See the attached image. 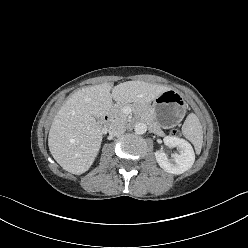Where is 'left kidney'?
Wrapping results in <instances>:
<instances>
[{
    "instance_id": "left-kidney-1",
    "label": "left kidney",
    "mask_w": 248,
    "mask_h": 248,
    "mask_svg": "<svg viewBox=\"0 0 248 248\" xmlns=\"http://www.w3.org/2000/svg\"><path fill=\"white\" fill-rule=\"evenodd\" d=\"M164 143L169 147H176L178 153L168 158L163 151H156L155 157L159 166L168 173L182 174L189 170L195 161V153L189 142L175 136H166Z\"/></svg>"
}]
</instances>
